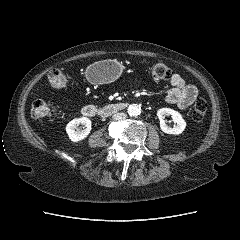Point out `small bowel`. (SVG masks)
I'll list each match as a JSON object with an SVG mask.
<instances>
[{
	"label": "small bowel",
	"mask_w": 240,
	"mask_h": 240,
	"mask_svg": "<svg viewBox=\"0 0 240 240\" xmlns=\"http://www.w3.org/2000/svg\"><path fill=\"white\" fill-rule=\"evenodd\" d=\"M165 88L167 90L165 102L176 105L180 109H186L192 105L198 96L197 87L192 84H187L185 80L176 73L170 77Z\"/></svg>",
	"instance_id": "obj_1"
}]
</instances>
